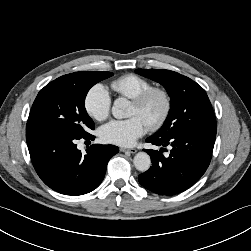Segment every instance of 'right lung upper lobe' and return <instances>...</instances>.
Returning <instances> with one entry per match:
<instances>
[{"label":"right lung upper lobe","instance_id":"obj_1","mask_svg":"<svg viewBox=\"0 0 251 251\" xmlns=\"http://www.w3.org/2000/svg\"><path fill=\"white\" fill-rule=\"evenodd\" d=\"M80 72H76V73H71V74H67L64 76L59 77L60 79H69V78H74L76 77Z\"/></svg>","mask_w":251,"mask_h":251}]
</instances>
